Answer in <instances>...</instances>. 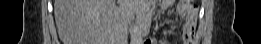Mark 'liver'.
<instances>
[{
    "mask_svg": "<svg viewBox=\"0 0 261 44\" xmlns=\"http://www.w3.org/2000/svg\"><path fill=\"white\" fill-rule=\"evenodd\" d=\"M115 0H55L54 15L64 44H117L112 30L124 24ZM120 33L119 31L117 32Z\"/></svg>",
    "mask_w": 261,
    "mask_h": 44,
    "instance_id": "liver-1",
    "label": "liver"
}]
</instances>
